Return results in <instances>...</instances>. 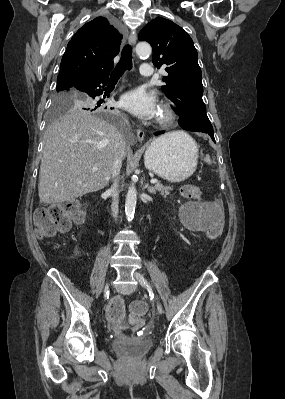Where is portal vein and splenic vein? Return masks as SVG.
Wrapping results in <instances>:
<instances>
[{
  "label": "portal vein and splenic vein",
  "mask_w": 285,
  "mask_h": 399,
  "mask_svg": "<svg viewBox=\"0 0 285 399\" xmlns=\"http://www.w3.org/2000/svg\"><path fill=\"white\" fill-rule=\"evenodd\" d=\"M92 171H93V172L97 171V168H92ZM150 182H151L152 184H156V183L158 182V180H157V179H151Z\"/></svg>",
  "instance_id": "1"
}]
</instances>
